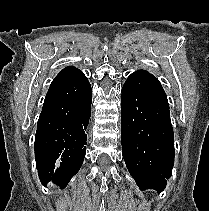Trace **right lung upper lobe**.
Masks as SVG:
<instances>
[{
	"mask_svg": "<svg viewBox=\"0 0 209 211\" xmlns=\"http://www.w3.org/2000/svg\"><path fill=\"white\" fill-rule=\"evenodd\" d=\"M78 69H76L75 67L73 66H69V67H66L64 68L62 71H60L58 73V75L55 77V79L52 81L51 85L55 82H58L60 81L61 79L65 78L66 76L70 75L71 73H73L74 71H76Z\"/></svg>",
	"mask_w": 209,
	"mask_h": 211,
	"instance_id": "1",
	"label": "right lung upper lobe"
}]
</instances>
